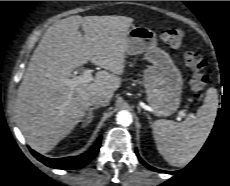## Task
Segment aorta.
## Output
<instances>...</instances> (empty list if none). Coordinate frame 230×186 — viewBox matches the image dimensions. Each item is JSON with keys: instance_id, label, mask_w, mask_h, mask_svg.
Returning <instances> with one entry per match:
<instances>
[{"instance_id": "aorta-1", "label": "aorta", "mask_w": 230, "mask_h": 186, "mask_svg": "<svg viewBox=\"0 0 230 186\" xmlns=\"http://www.w3.org/2000/svg\"><path fill=\"white\" fill-rule=\"evenodd\" d=\"M116 121L119 125L129 126L132 121V114L127 110H121L116 115Z\"/></svg>"}]
</instances>
